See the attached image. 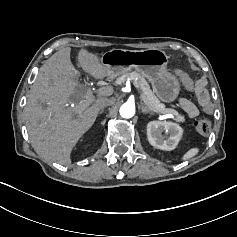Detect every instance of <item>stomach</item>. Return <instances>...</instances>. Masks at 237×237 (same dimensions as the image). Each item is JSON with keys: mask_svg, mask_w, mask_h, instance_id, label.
Instances as JSON below:
<instances>
[{"mask_svg": "<svg viewBox=\"0 0 237 237\" xmlns=\"http://www.w3.org/2000/svg\"><path fill=\"white\" fill-rule=\"evenodd\" d=\"M169 58L160 49L146 50L112 49L102 54L101 64L107 68V76L115 78L135 69L152 84L153 91L164 102L174 101L180 91L177 77L167 71Z\"/></svg>", "mask_w": 237, "mask_h": 237, "instance_id": "1", "label": "stomach"}]
</instances>
